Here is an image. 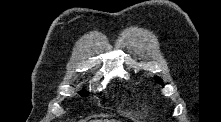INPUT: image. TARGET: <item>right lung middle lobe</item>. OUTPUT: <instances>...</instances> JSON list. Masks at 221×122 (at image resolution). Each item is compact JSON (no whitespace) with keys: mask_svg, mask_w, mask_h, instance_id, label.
I'll return each instance as SVG.
<instances>
[{"mask_svg":"<svg viewBox=\"0 0 221 122\" xmlns=\"http://www.w3.org/2000/svg\"><path fill=\"white\" fill-rule=\"evenodd\" d=\"M88 93L87 92H81L82 96H86Z\"/></svg>","mask_w":221,"mask_h":122,"instance_id":"obj_1","label":"right lung middle lobe"}]
</instances>
